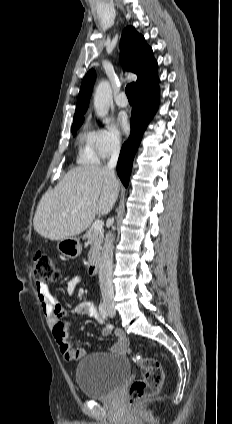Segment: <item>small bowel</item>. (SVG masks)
Listing matches in <instances>:
<instances>
[{
    "label": "small bowel",
    "mask_w": 232,
    "mask_h": 424,
    "mask_svg": "<svg viewBox=\"0 0 232 424\" xmlns=\"http://www.w3.org/2000/svg\"><path fill=\"white\" fill-rule=\"evenodd\" d=\"M82 281L83 279L79 276L71 278L66 284V292L69 295H73ZM35 289L41 311L63 358L67 361H77L84 357L86 355V349L75 348L69 342V323L66 321V318L71 316H88L99 323H104L95 303L92 300H83L76 303L70 309H66L57 304L55 296L46 284L36 282ZM111 332L112 326L107 324L101 329L102 336H109ZM115 336L116 342L111 346V351L116 354H125L128 351V339L125 333L121 330H116Z\"/></svg>",
    "instance_id": "c3829d8e"
}]
</instances>
